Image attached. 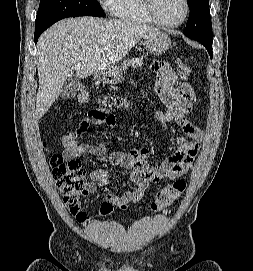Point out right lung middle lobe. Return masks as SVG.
<instances>
[{
  "mask_svg": "<svg viewBox=\"0 0 253 271\" xmlns=\"http://www.w3.org/2000/svg\"><path fill=\"white\" fill-rule=\"evenodd\" d=\"M98 16L105 13L97 0H40L35 21V32L46 30L66 17Z\"/></svg>",
  "mask_w": 253,
  "mask_h": 271,
  "instance_id": "right-lung-middle-lobe-1",
  "label": "right lung middle lobe"
}]
</instances>
